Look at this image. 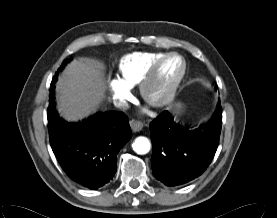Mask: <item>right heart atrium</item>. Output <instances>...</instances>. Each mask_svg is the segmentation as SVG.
<instances>
[{
    "mask_svg": "<svg viewBox=\"0 0 277 218\" xmlns=\"http://www.w3.org/2000/svg\"><path fill=\"white\" fill-rule=\"evenodd\" d=\"M109 85L116 98L124 100L129 94V86H127L121 79L114 77L109 79Z\"/></svg>",
    "mask_w": 277,
    "mask_h": 218,
    "instance_id": "obj_1",
    "label": "right heart atrium"
}]
</instances>
